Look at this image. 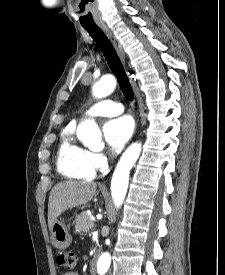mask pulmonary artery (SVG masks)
Here are the masks:
<instances>
[{"mask_svg": "<svg viewBox=\"0 0 225 275\" xmlns=\"http://www.w3.org/2000/svg\"><path fill=\"white\" fill-rule=\"evenodd\" d=\"M124 111L121 103L102 100L90 106L82 115V117H96V116H115Z\"/></svg>", "mask_w": 225, "mask_h": 275, "instance_id": "1", "label": "pulmonary artery"}]
</instances>
